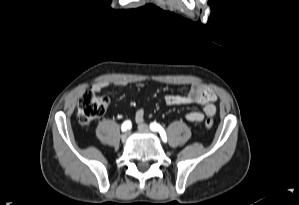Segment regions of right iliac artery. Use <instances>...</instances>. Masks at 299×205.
Returning a JSON list of instances; mask_svg holds the SVG:
<instances>
[{
    "instance_id": "82829eb1",
    "label": "right iliac artery",
    "mask_w": 299,
    "mask_h": 205,
    "mask_svg": "<svg viewBox=\"0 0 299 205\" xmlns=\"http://www.w3.org/2000/svg\"><path fill=\"white\" fill-rule=\"evenodd\" d=\"M131 126H132L131 121H130V120H127V121H125V122L122 124L121 129H122V131L124 132V131H126L127 129H130Z\"/></svg>"
}]
</instances>
